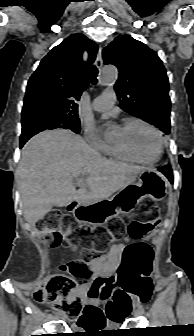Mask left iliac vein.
I'll return each mask as SVG.
<instances>
[{
    "mask_svg": "<svg viewBox=\"0 0 194 336\" xmlns=\"http://www.w3.org/2000/svg\"><path fill=\"white\" fill-rule=\"evenodd\" d=\"M143 312L140 310V308L136 309L135 311V315L139 316L141 315Z\"/></svg>",
    "mask_w": 194,
    "mask_h": 336,
    "instance_id": "obj_1",
    "label": "left iliac vein"
}]
</instances>
